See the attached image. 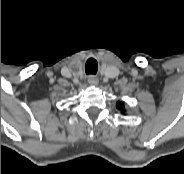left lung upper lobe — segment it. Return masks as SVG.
<instances>
[{
  "instance_id": "5c2ea615",
  "label": "left lung upper lobe",
  "mask_w": 184,
  "mask_h": 174,
  "mask_svg": "<svg viewBox=\"0 0 184 174\" xmlns=\"http://www.w3.org/2000/svg\"><path fill=\"white\" fill-rule=\"evenodd\" d=\"M116 108L118 109V110H121L123 113L125 112V110H124V102L123 101H118L117 103H116Z\"/></svg>"
}]
</instances>
